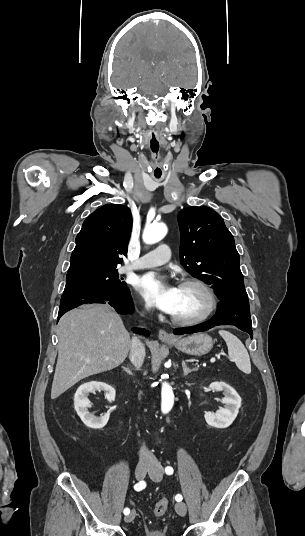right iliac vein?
Returning <instances> with one entry per match:
<instances>
[{
	"label": "right iliac vein",
	"mask_w": 305,
	"mask_h": 536,
	"mask_svg": "<svg viewBox=\"0 0 305 536\" xmlns=\"http://www.w3.org/2000/svg\"><path fill=\"white\" fill-rule=\"evenodd\" d=\"M148 470H150V466L143 465V464H138V465L136 466V469H135V475H136V478H137L138 480H142V479H144V477H145V475H146V472H147ZM135 516H136V513H135L134 510H132V511L130 512V514L127 515V516L125 517V522H127V523L131 522V521L135 518Z\"/></svg>",
	"instance_id": "1"
}]
</instances>
